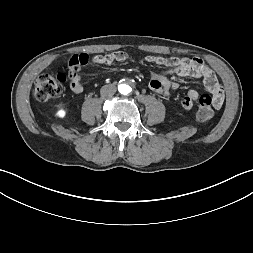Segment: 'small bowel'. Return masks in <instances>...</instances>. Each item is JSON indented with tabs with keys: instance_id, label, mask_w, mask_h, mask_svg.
<instances>
[{
	"instance_id": "obj_1",
	"label": "small bowel",
	"mask_w": 253,
	"mask_h": 253,
	"mask_svg": "<svg viewBox=\"0 0 253 253\" xmlns=\"http://www.w3.org/2000/svg\"><path fill=\"white\" fill-rule=\"evenodd\" d=\"M80 59L85 61L86 65L89 58L85 54H73L70 57L71 62L76 63ZM128 59V55L122 51H117L108 55H99L94 57V63L101 65H110L114 61L123 62ZM146 63L163 66L166 69L161 72H151L150 89L158 94L167 96L170 92L178 87V84L169 79V75L176 74L180 77H195L202 78L206 89L212 94L213 106L217 109L221 108L224 103V92L222 85L214 76L211 69L198 58L179 59V58H164L161 56L148 55L143 59ZM196 90H189L186 97L181 101V108L189 114H192L197 109L196 100L198 99Z\"/></svg>"
}]
</instances>
